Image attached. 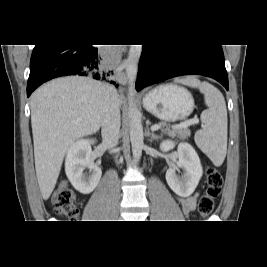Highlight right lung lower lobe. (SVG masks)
Masks as SVG:
<instances>
[{"label": "right lung lower lobe", "instance_id": "98d812e1", "mask_svg": "<svg viewBox=\"0 0 267 267\" xmlns=\"http://www.w3.org/2000/svg\"><path fill=\"white\" fill-rule=\"evenodd\" d=\"M109 73L99 50L92 45H35L30 61L27 96L56 77L80 75L106 80Z\"/></svg>", "mask_w": 267, "mask_h": 267}]
</instances>
